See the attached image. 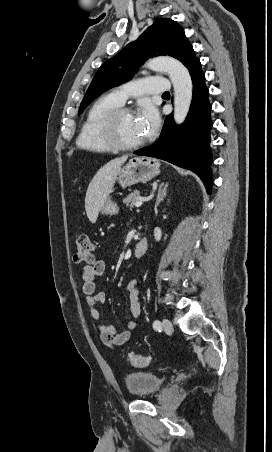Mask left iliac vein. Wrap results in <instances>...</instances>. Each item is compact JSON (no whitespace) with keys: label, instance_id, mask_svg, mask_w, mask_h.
<instances>
[{"label":"left iliac vein","instance_id":"left-iliac-vein-1","mask_svg":"<svg viewBox=\"0 0 272 452\" xmlns=\"http://www.w3.org/2000/svg\"><path fill=\"white\" fill-rule=\"evenodd\" d=\"M162 328L167 334H171L173 332V325L168 319H163Z\"/></svg>","mask_w":272,"mask_h":452}]
</instances>
